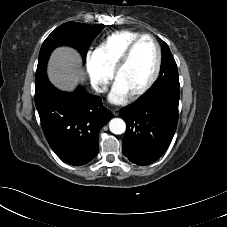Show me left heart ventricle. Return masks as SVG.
Instances as JSON below:
<instances>
[{"label":"left heart ventricle","instance_id":"1","mask_svg":"<svg viewBox=\"0 0 227 227\" xmlns=\"http://www.w3.org/2000/svg\"><path fill=\"white\" fill-rule=\"evenodd\" d=\"M156 63V47L150 39L145 38L136 46L130 61L119 74L116 84L129 95L148 82L154 73Z\"/></svg>","mask_w":227,"mask_h":227}]
</instances>
